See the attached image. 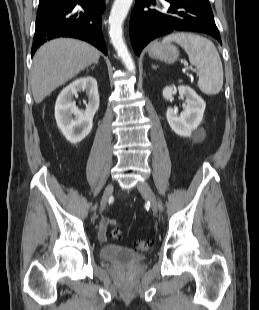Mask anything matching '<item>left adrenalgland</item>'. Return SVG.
Listing matches in <instances>:
<instances>
[{
	"instance_id": "left-adrenal-gland-1",
	"label": "left adrenal gland",
	"mask_w": 259,
	"mask_h": 310,
	"mask_svg": "<svg viewBox=\"0 0 259 310\" xmlns=\"http://www.w3.org/2000/svg\"><path fill=\"white\" fill-rule=\"evenodd\" d=\"M152 68H153V69H156L157 67H156V66H154V65H152Z\"/></svg>"
}]
</instances>
